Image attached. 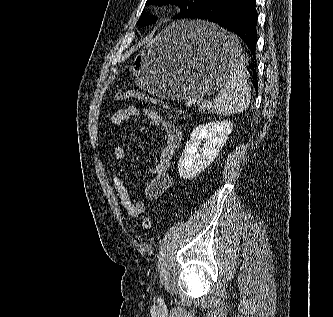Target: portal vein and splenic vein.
I'll list each match as a JSON object with an SVG mask.
<instances>
[{
    "label": "portal vein and splenic vein",
    "instance_id": "obj_1",
    "mask_svg": "<svg viewBox=\"0 0 333 317\" xmlns=\"http://www.w3.org/2000/svg\"><path fill=\"white\" fill-rule=\"evenodd\" d=\"M192 100L194 101V103H196V100H194V99H192ZM192 104H193V102L190 101V102L187 103V106H192ZM202 104H204V105H205V104H208V101H205V100H204V101H202Z\"/></svg>",
    "mask_w": 333,
    "mask_h": 317
}]
</instances>
